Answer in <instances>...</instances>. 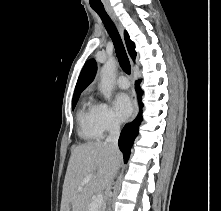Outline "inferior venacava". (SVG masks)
Returning <instances> with one entry per match:
<instances>
[{"instance_id": "obj_1", "label": "inferior vena cava", "mask_w": 221, "mask_h": 211, "mask_svg": "<svg viewBox=\"0 0 221 211\" xmlns=\"http://www.w3.org/2000/svg\"><path fill=\"white\" fill-rule=\"evenodd\" d=\"M119 134H120V124L117 120H113L110 124L109 135L105 140V144L109 145L111 148H113L117 152H119V148H118ZM117 170L118 168L115 170L114 175L116 174Z\"/></svg>"}]
</instances>
